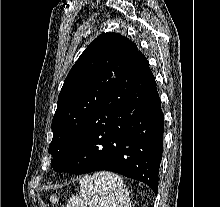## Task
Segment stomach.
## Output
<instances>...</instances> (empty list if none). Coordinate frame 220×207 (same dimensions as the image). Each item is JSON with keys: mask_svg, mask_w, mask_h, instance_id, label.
Segmentation results:
<instances>
[{"mask_svg": "<svg viewBox=\"0 0 220 207\" xmlns=\"http://www.w3.org/2000/svg\"><path fill=\"white\" fill-rule=\"evenodd\" d=\"M50 202L57 205L59 202V197L56 194L51 195Z\"/></svg>", "mask_w": 220, "mask_h": 207, "instance_id": "obj_1", "label": "stomach"}]
</instances>
